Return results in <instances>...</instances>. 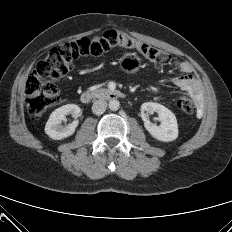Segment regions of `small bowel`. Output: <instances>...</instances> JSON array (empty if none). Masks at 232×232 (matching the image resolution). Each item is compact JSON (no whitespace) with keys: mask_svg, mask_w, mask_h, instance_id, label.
<instances>
[{"mask_svg":"<svg viewBox=\"0 0 232 232\" xmlns=\"http://www.w3.org/2000/svg\"><path fill=\"white\" fill-rule=\"evenodd\" d=\"M176 67L181 71V74L172 78L173 84L194 97L199 103L198 114H200L202 111L201 84L192 64L186 60H181L176 62Z\"/></svg>","mask_w":232,"mask_h":232,"instance_id":"c3829d8e","label":"small bowel"}]
</instances>
